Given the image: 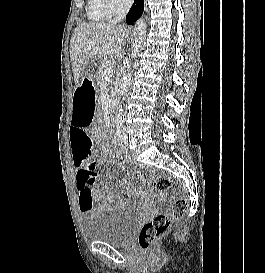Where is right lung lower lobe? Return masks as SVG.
Instances as JSON below:
<instances>
[{
  "mask_svg": "<svg viewBox=\"0 0 265 273\" xmlns=\"http://www.w3.org/2000/svg\"><path fill=\"white\" fill-rule=\"evenodd\" d=\"M143 10V0H135L133 6L126 16V22L130 25H133L134 22L142 15Z\"/></svg>",
  "mask_w": 265,
  "mask_h": 273,
  "instance_id": "1",
  "label": "right lung lower lobe"
}]
</instances>
